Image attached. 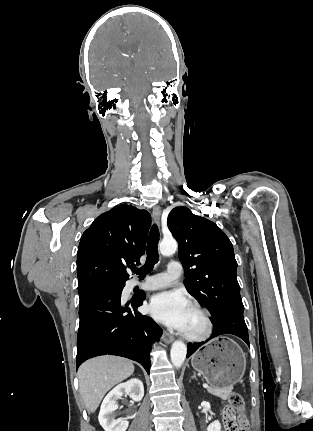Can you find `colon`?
Listing matches in <instances>:
<instances>
[{
  "instance_id": "colon-1",
  "label": "colon",
  "mask_w": 313,
  "mask_h": 431,
  "mask_svg": "<svg viewBox=\"0 0 313 431\" xmlns=\"http://www.w3.org/2000/svg\"><path fill=\"white\" fill-rule=\"evenodd\" d=\"M245 412V402L242 395L237 392L231 393L223 413L226 431H247V423L238 422L234 419L236 416H244Z\"/></svg>"
}]
</instances>
